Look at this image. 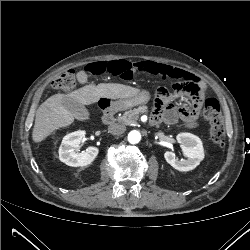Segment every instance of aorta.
<instances>
[{
    "label": "aorta",
    "mask_w": 250,
    "mask_h": 250,
    "mask_svg": "<svg viewBox=\"0 0 250 250\" xmlns=\"http://www.w3.org/2000/svg\"><path fill=\"white\" fill-rule=\"evenodd\" d=\"M141 140V134L139 131L133 130L128 134V141L131 144H136Z\"/></svg>",
    "instance_id": "762f6f07"
}]
</instances>
